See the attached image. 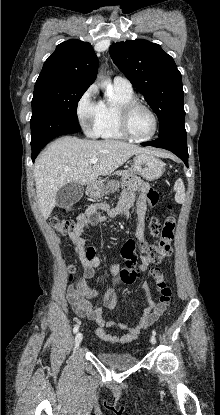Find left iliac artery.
Wrapping results in <instances>:
<instances>
[{
	"mask_svg": "<svg viewBox=\"0 0 220 415\" xmlns=\"http://www.w3.org/2000/svg\"><path fill=\"white\" fill-rule=\"evenodd\" d=\"M152 333H153L154 336L156 335V331L155 330H153Z\"/></svg>",
	"mask_w": 220,
	"mask_h": 415,
	"instance_id": "44dca946",
	"label": "left iliac artery"
}]
</instances>
